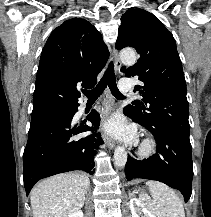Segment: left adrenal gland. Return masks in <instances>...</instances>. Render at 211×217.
<instances>
[{
	"instance_id": "1",
	"label": "left adrenal gland",
	"mask_w": 211,
	"mask_h": 217,
	"mask_svg": "<svg viewBox=\"0 0 211 217\" xmlns=\"http://www.w3.org/2000/svg\"><path fill=\"white\" fill-rule=\"evenodd\" d=\"M129 196H134V192H129Z\"/></svg>"
}]
</instances>
